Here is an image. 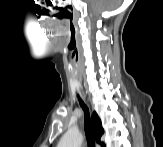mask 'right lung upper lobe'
<instances>
[{"instance_id": "right-lung-upper-lobe-1", "label": "right lung upper lobe", "mask_w": 163, "mask_h": 147, "mask_svg": "<svg viewBox=\"0 0 163 147\" xmlns=\"http://www.w3.org/2000/svg\"><path fill=\"white\" fill-rule=\"evenodd\" d=\"M92 125H93V129H94V135H95V139L96 141L101 144L102 146H104V143H102L100 141L101 136L104 133V130L102 128V124H101V120L99 119L98 115L96 114V112H94L92 114Z\"/></svg>"}]
</instances>
